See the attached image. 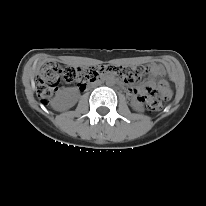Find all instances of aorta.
<instances>
[{"label": "aorta", "instance_id": "obj_1", "mask_svg": "<svg viewBox=\"0 0 206 206\" xmlns=\"http://www.w3.org/2000/svg\"><path fill=\"white\" fill-rule=\"evenodd\" d=\"M106 84H107V85H112V84H113V81H112V80H107V81H106Z\"/></svg>", "mask_w": 206, "mask_h": 206}]
</instances>
